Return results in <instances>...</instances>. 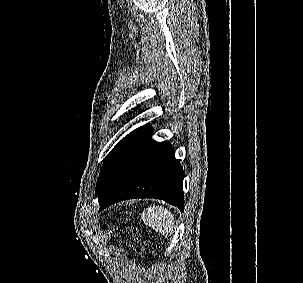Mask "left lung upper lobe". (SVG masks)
<instances>
[{
	"mask_svg": "<svg viewBox=\"0 0 303 283\" xmlns=\"http://www.w3.org/2000/svg\"><path fill=\"white\" fill-rule=\"evenodd\" d=\"M136 130L132 131L127 136H125L107 155L106 159L104 160L101 172H100L98 183L96 185V191L102 186V184L106 180L118 154L120 153L122 148L125 146V144L128 142V140L132 137V135L135 133Z\"/></svg>",
	"mask_w": 303,
	"mask_h": 283,
	"instance_id": "5c2ea615",
	"label": "left lung upper lobe"
}]
</instances>
